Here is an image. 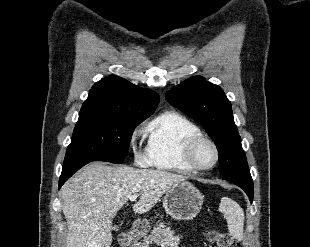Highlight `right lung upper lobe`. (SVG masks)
<instances>
[{"mask_svg":"<svg viewBox=\"0 0 310 247\" xmlns=\"http://www.w3.org/2000/svg\"><path fill=\"white\" fill-rule=\"evenodd\" d=\"M159 103V95L139 88L117 76H107L95 83L80 114H115L149 117Z\"/></svg>","mask_w":310,"mask_h":247,"instance_id":"obj_1","label":"right lung upper lobe"}]
</instances>
